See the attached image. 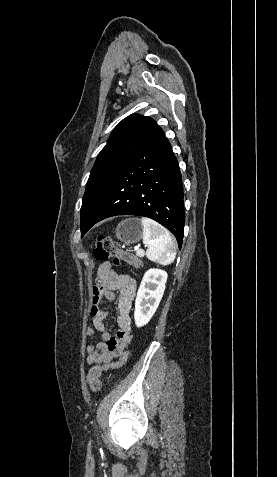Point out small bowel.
<instances>
[{
	"instance_id": "obj_1",
	"label": "small bowel",
	"mask_w": 277,
	"mask_h": 477,
	"mask_svg": "<svg viewBox=\"0 0 277 477\" xmlns=\"http://www.w3.org/2000/svg\"><path fill=\"white\" fill-rule=\"evenodd\" d=\"M136 280L126 274L116 273L109 261L100 264L97 273L96 286L91 294L89 314L93 327L85 330L87 337H93L95 331L101 333L102 341L96 345L88 344L85 347L86 362L90 366H99L101 371L118 368L127 360V352L132 338L131 310L136 293ZM118 292V331L113 336L105 326L108 312L100 308L102 298L114 300ZM118 362H111L112 358L119 356Z\"/></svg>"
}]
</instances>
